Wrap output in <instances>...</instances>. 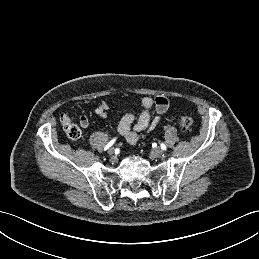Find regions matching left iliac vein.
Returning <instances> with one entry per match:
<instances>
[{"instance_id":"1","label":"left iliac vein","mask_w":259,"mask_h":259,"mask_svg":"<svg viewBox=\"0 0 259 259\" xmlns=\"http://www.w3.org/2000/svg\"><path fill=\"white\" fill-rule=\"evenodd\" d=\"M163 149L162 148H160V147H157V148H155L154 150H153V153L155 154V155H161V154H163Z\"/></svg>"}]
</instances>
